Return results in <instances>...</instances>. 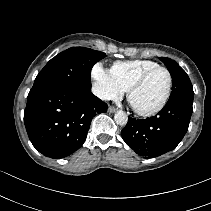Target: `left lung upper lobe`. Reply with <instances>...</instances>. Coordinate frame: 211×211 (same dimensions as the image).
I'll list each match as a JSON object with an SVG mask.
<instances>
[{"label": "left lung upper lobe", "mask_w": 211, "mask_h": 211, "mask_svg": "<svg viewBox=\"0 0 211 211\" xmlns=\"http://www.w3.org/2000/svg\"><path fill=\"white\" fill-rule=\"evenodd\" d=\"M160 60L167 66L172 76V92L169 99L177 97L193 99V86L186 72L169 58L160 57Z\"/></svg>", "instance_id": "left-lung-upper-lobe-1"}]
</instances>
